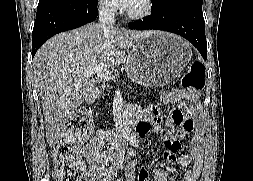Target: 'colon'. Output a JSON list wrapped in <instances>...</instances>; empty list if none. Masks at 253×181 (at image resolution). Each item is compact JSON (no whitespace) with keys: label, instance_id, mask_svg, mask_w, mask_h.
Wrapping results in <instances>:
<instances>
[{"label":"colon","instance_id":"colon-1","mask_svg":"<svg viewBox=\"0 0 253 181\" xmlns=\"http://www.w3.org/2000/svg\"><path fill=\"white\" fill-rule=\"evenodd\" d=\"M205 67L201 62H194L182 79L186 91L197 93L204 87ZM91 132L88 119L78 114L70 118L55 144V177L58 181H93L84 169L77 144Z\"/></svg>","mask_w":253,"mask_h":181}]
</instances>
